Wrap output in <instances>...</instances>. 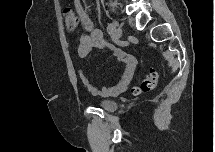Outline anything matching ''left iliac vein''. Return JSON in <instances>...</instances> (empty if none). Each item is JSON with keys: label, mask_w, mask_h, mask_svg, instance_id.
<instances>
[{"label": "left iliac vein", "mask_w": 215, "mask_h": 152, "mask_svg": "<svg viewBox=\"0 0 215 152\" xmlns=\"http://www.w3.org/2000/svg\"><path fill=\"white\" fill-rule=\"evenodd\" d=\"M114 39L118 40L122 37V29L120 27H116L113 34Z\"/></svg>", "instance_id": "left-iliac-vein-1"}]
</instances>
